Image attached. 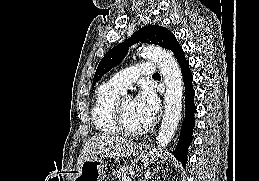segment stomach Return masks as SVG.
<instances>
[{
	"instance_id": "1",
	"label": "stomach",
	"mask_w": 259,
	"mask_h": 181,
	"mask_svg": "<svg viewBox=\"0 0 259 181\" xmlns=\"http://www.w3.org/2000/svg\"><path fill=\"white\" fill-rule=\"evenodd\" d=\"M137 155L143 162H151L154 159L153 152L149 148L141 149ZM105 173L102 159L94 156L81 163L73 181H104Z\"/></svg>"
}]
</instances>
